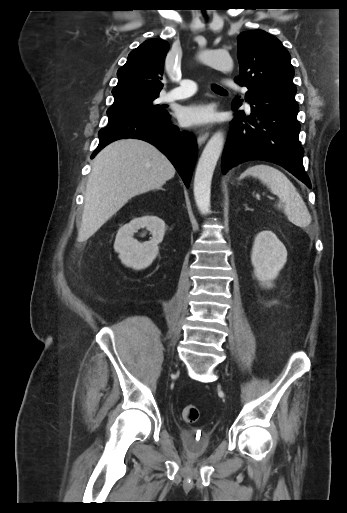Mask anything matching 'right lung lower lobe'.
Instances as JSON below:
<instances>
[{"label":"right lung lower lobe","mask_w":347,"mask_h":513,"mask_svg":"<svg viewBox=\"0 0 347 513\" xmlns=\"http://www.w3.org/2000/svg\"><path fill=\"white\" fill-rule=\"evenodd\" d=\"M170 115L153 119L145 116H129L109 121L99 135V145L93 158L109 143L122 138H136L156 146L174 165L188 187L197 158V144L193 135L180 132L171 124Z\"/></svg>","instance_id":"1"}]
</instances>
